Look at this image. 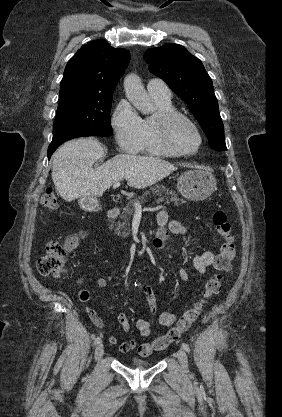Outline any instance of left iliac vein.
<instances>
[{"instance_id": "left-iliac-vein-1", "label": "left iliac vein", "mask_w": 282, "mask_h": 417, "mask_svg": "<svg viewBox=\"0 0 282 417\" xmlns=\"http://www.w3.org/2000/svg\"><path fill=\"white\" fill-rule=\"evenodd\" d=\"M176 357H177L179 363L181 364V366L185 370H187L188 369V357H187L186 352L183 349H179L177 354H176Z\"/></svg>"}]
</instances>
